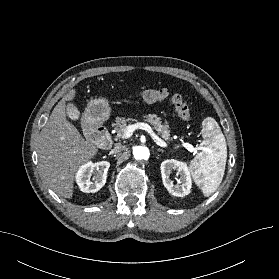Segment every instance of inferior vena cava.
Wrapping results in <instances>:
<instances>
[{"label": "inferior vena cava", "mask_w": 279, "mask_h": 279, "mask_svg": "<svg viewBox=\"0 0 279 279\" xmlns=\"http://www.w3.org/2000/svg\"><path fill=\"white\" fill-rule=\"evenodd\" d=\"M123 150V147L121 144L117 143L115 144L114 148L111 150L112 153H119Z\"/></svg>", "instance_id": "obj_1"}]
</instances>
